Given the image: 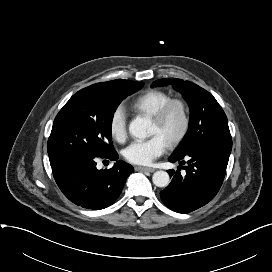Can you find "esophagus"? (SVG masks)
<instances>
[{
    "label": "esophagus",
    "instance_id": "1",
    "mask_svg": "<svg viewBox=\"0 0 272 272\" xmlns=\"http://www.w3.org/2000/svg\"><path fill=\"white\" fill-rule=\"evenodd\" d=\"M136 170H138V171H147V172H154V171H155L154 168H150V167H141V166L136 167Z\"/></svg>",
    "mask_w": 272,
    "mask_h": 272
}]
</instances>
